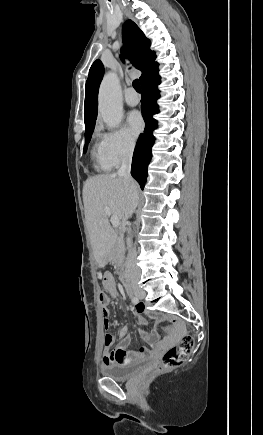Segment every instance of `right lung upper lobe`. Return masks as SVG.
I'll return each mask as SVG.
<instances>
[{
  "label": "right lung upper lobe",
  "instance_id": "right-lung-upper-lobe-1",
  "mask_svg": "<svg viewBox=\"0 0 263 435\" xmlns=\"http://www.w3.org/2000/svg\"><path fill=\"white\" fill-rule=\"evenodd\" d=\"M126 52L134 67L142 72L141 84L158 72V63L155 62V52L150 50L151 42L144 33L131 20H127L122 29ZM123 59V54L121 55ZM104 67L100 60H96L90 70L85 85L84 121L85 130L95 126L97 117V96L100 82L103 78Z\"/></svg>",
  "mask_w": 263,
  "mask_h": 435
}]
</instances>
